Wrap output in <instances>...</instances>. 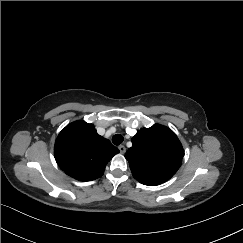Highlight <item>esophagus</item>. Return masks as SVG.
Listing matches in <instances>:
<instances>
[{
    "instance_id": "esophagus-1",
    "label": "esophagus",
    "mask_w": 243,
    "mask_h": 243,
    "mask_svg": "<svg viewBox=\"0 0 243 243\" xmlns=\"http://www.w3.org/2000/svg\"><path fill=\"white\" fill-rule=\"evenodd\" d=\"M118 149H119L120 153H122V154H124V153L126 152V148H125L124 145H120V146L118 147Z\"/></svg>"
}]
</instances>
